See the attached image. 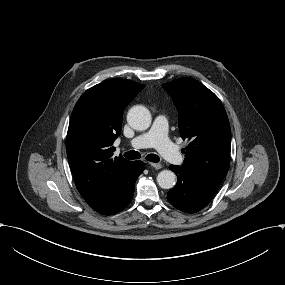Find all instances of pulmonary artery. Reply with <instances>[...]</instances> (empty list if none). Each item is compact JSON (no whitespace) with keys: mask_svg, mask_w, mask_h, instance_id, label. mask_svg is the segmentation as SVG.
<instances>
[{"mask_svg":"<svg viewBox=\"0 0 285 285\" xmlns=\"http://www.w3.org/2000/svg\"><path fill=\"white\" fill-rule=\"evenodd\" d=\"M165 128L166 118L164 116H158L150 129L138 134L130 141L129 145L133 148H138L151 140L152 145L157 148L165 158L175 164L182 165L184 156L181 154L180 148L169 141L167 136L161 132Z\"/></svg>","mask_w":285,"mask_h":285,"instance_id":"pulmonary-artery-1","label":"pulmonary artery"}]
</instances>
